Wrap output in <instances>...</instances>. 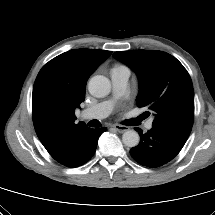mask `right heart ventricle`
<instances>
[{"instance_id": "e07e8e85", "label": "right heart ventricle", "mask_w": 215, "mask_h": 215, "mask_svg": "<svg viewBox=\"0 0 215 215\" xmlns=\"http://www.w3.org/2000/svg\"><path fill=\"white\" fill-rule=\"evenodd\" d=\"M115 68H125L124 66H116Z\"/></svg>"}]
</instances>
